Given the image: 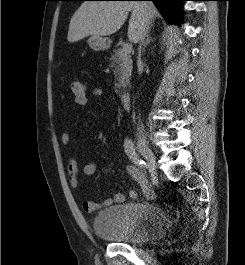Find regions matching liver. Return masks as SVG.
I'll list each match as a JSON object with an SVG mask.
<instances>
[{"instance_id":"1","label":"liver","mask_w":245,"mask_h":265,"mask_svg":"<svg viewBox=\"0 0 245 265\" xmlns=\"http://www.w3.org/2000/svg\"><path fill=\"white\" fill-rule=\"evenodd\" d=\"M148 8L152 18L159 16L153 3H150ZM129 12H131V17L128 26V38L131 42L137 43L143 7L140 2L129 1H85L70 20L67 39L73 43L88 36L105 37L112 35L122 27Z\"/></svg>"}]
</instances>
